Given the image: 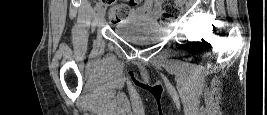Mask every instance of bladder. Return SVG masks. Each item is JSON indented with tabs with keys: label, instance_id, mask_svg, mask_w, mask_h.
Masks as SVG:
<instances>
[{
	"label": "bladder",
	"instance_id": "31cf9c89",
	"mask_svg": "<svg viewBox=\"0 0 267 115\" xmlns=\"http://www.w3.org/2000/svg\"><path fill=\"white\" fill-rule=\"evenodd\" d=\"M114 32L121 39L139 43L163 39L168 35L167 30L157 22H125L114 27Z\"/></svg>",
	"mask_w": 267,
	"mask_h": 115
}]
</instances>
